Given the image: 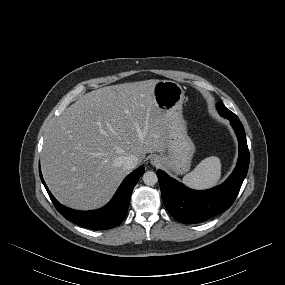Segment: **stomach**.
<instances>
[{
    "label": "stomach",
    "mask_w": 285,
    "mask_h": 285,
    "mask_svg": "<svg viewBox=\"0 0 285 285\" xmlns=\"http://www.w3.org/2000/svg\"><path fill=\"white\" fill-rule=\"evenodd\" d=\"M185 91L174 81L159 80L154 87V97L167 129V147L159 155L163 166L176 174L189 171L195 145L187 134L182 105Z\"/></svg>",
    "instance_id": "1"
}]
</instances>
